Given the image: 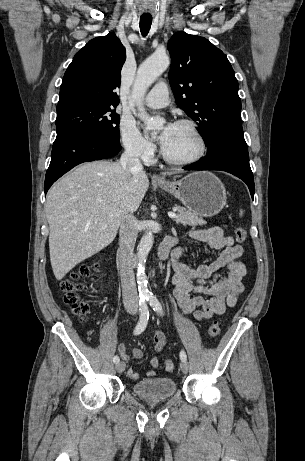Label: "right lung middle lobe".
<instances>
[{
  "label": "right lung middle lobe",
  "mask_w": 305,
  "mask_h": 461,
  "mask_svg": "<svg viewBox=\"0 0 305 461\" xmlns=\"http://www.w3.org/2000/svg\"><path fill=\"white\" fill-rule=\"evenodd\" d=\"M112 105L80 102L57 107L56 139L94 136L119 144L120 116Z\"/></svg>",
  "instance_id": "right-lung-middle-lobe-1"
}]
</instances>
